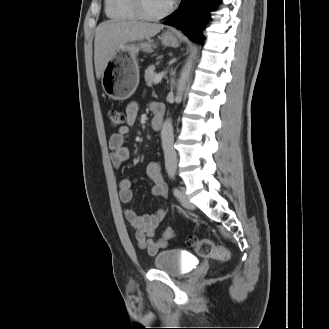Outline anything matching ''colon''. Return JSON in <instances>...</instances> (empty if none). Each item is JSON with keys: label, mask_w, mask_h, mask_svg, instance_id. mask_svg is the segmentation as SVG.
Masks as SVG:
<instances>
[{"label": "colon", "mask_w": 329, "mask_h": 329, "mask_svg": "<svg viewBox=\"0 0 329 329\" xmlns=\"http://www.w3.org/2000/svg\"><path fill=\"white\" fill-rule=\"evenodd\" d=\"M109 117L113 128L120 129L126 124V115L120 110H110ZM162 235L166 240L173 239L175 237V228L172 226L164 227ZM188 244L200 257L210 258L221 262H226L230 259V253L225 247L214 244L208 238L190 236L188 238Z\"/></svg>", "instance_id": "obj_1"}]
</instances>
